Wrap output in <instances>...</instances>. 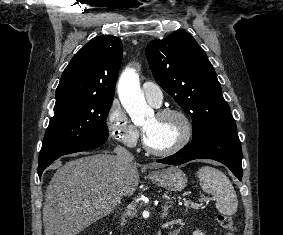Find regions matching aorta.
Masks as SVG:
<instances>
[{
	"label": "aorta",
	"mask_w": 283,
	"mask_h": 235,
	"mask_svg": "<svg viewBox=\"0 0 283 235\" xmlns=\"http://www.w3.org/2000/svg\"><path fill=\"white\" fill-rule=\"evenodd\" d=\"M117 89L121 104L135 124L143 122L146 116L152 114L141 92L139 76L134 68L127 67L122 72Z\"/></svg>",
	"instance_id": "aorta-1"
}]
</instances>
